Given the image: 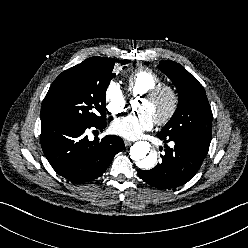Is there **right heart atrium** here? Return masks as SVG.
<instances>
[{
  "label": "right heart atrium",
  "mask_w": 248,
  "mask_h": 248,
  "mask_svg": "<svg viewBox=\"0 0 248 248\" xmlns=\"http://www.w3.org/2000/svg\"><path fill=\"white\" fill-rule=\"evenodd\" d=\"M105 101L107 110L112 115L121 114L126 110L127 100L121 87L115 83L110 82L105 90Z\"/></svg>",
  "instance_id": "obj_1"
}]
</instances>
